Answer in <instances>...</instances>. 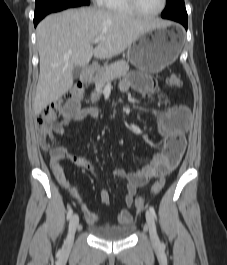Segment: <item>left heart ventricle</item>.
Listing matches in <instances>:
<instances>
[{
    "instance_id": "obj_1",
    "label": "left heart ventricle",
    "mask_w": 227,
    "mask_h": 265,
    "mask_svg": "<svg viewBox=\"0 0 227 265\" xmlns=\"http://www.w3.org/2000/svg\"><path fill=\"white\" fill-rule=\"evenodd\" d=\"M139 8L145 13L156 12L162 4V0H137Z\"/></svg>"
}]
</instances>
